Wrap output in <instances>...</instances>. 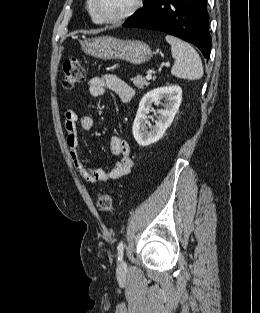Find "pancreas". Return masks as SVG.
Returning a JSON list of instances; mask_svg holds the SVG:
<instances>
[{"mask_svg":"<svg viewBox=\"0 0 260 313\" xmlns=\"http://www.w3.org/2000/svg\"><path fill=\"white\" fill-rule=\"evenodd\" d=\"M131 81L138 89H144L145 86L149 85V82L146 81V79L140 75L132 77Z\"/></svg>","mask_w":260,"mask_h":313,"instance_id":"cf45deb5","label":"pancreas"}]
</instances>
